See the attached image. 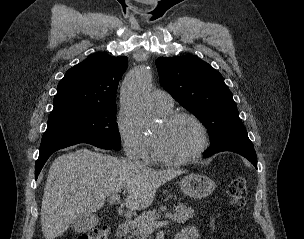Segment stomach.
Instances as JSON below:
<instances>
[{"instance_id": "0dacf381", "label": "stomach", "mask_w": 304, "mask_h": 239, "mask_svg": "<svg viewBox=\"0 0 304 239\" xmlns=\"http://www.w3.org/2000/svg\"><path fill=\"white\" fill-rule=\"evenodd\" d=\"M214 181L203 174H189L180 181L181 190L185 195L201 199L213 192L215 189Z\"/></svg>"}]
</instances>
